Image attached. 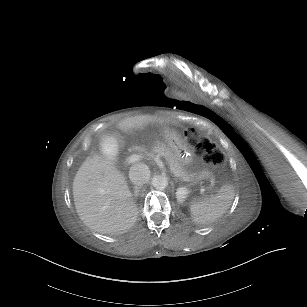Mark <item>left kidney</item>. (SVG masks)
Wrapping results in <instances>:
<instances>
[{"label":"left kidney","mask_w":307,"mask_h":307,"mask_svg":"<svg viewBox=\"0 0 307 307\" xmlns=\"http://www.w3.org/2000/svg\"><path fill=\"white\" fill-rule=\"evenodd\" d=\"M187 189L186 188H179L176 192V196L179 200H184L187 195Z\"/></svg>","instance_id":"5707ae66"}]
</instances>
